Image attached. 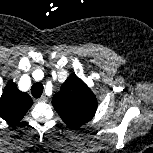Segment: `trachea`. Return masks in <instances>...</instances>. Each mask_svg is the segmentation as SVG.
<instances>
[{
	"mask_svg": "<svg viewBox=\"0 0 153 153\" xmlns=\"http://www.w3.org/2000/svg\"><path fill=\"white\" fill-rule=\"evenodd\" d=\"M44 87L41 83H34L31 87V94L34 98H39L43 93Z\"/></svg>",
	"mask_w": 153,
	"mask_h": 153,
	"instance_id": "1",
	"label": "trachea"
}]
</instances>
